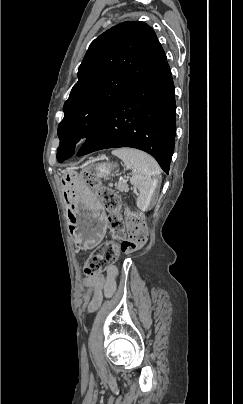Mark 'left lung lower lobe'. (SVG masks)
<instances>
[{"instance_id":"1","label":"left lung lower lobe","mask_w":243,"mask_h":404,"mask_svg":"<svg viewBox=\"0 0 243 404\" xmlns=\"http://www.w3.org/2000/svg\"><path fill=\"white\" fill-rule=\"evenodd\" d=\"M175 133L174 83L166 61L102 117L76 155L107 148H137L152 155L168 174Z\"/></svg>"}]
</instances>
